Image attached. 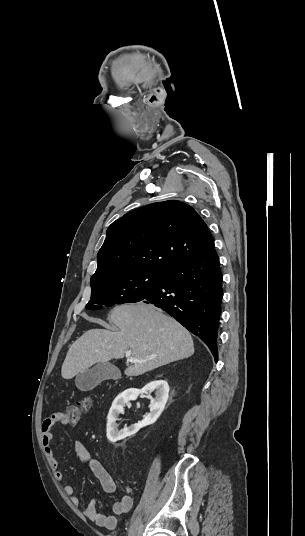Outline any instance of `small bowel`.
<instances>
[{"label": "small bowel", "instance_id": "obj_1", "mask_svg": "<svg viewBox=\"0 0 305 536\" xmlns=\"http://www.w3.org/2000/svg\"><path fill=\"white\" fill-rule=\"evenodd\" d=\"M43 421L41 422V442L46 454L47 460L51 469L54 471L55 479L58 482L64 480V475L59 469V461L57 455L54 453L51 443L53 436L51 434L52 427L64 426L67 427L69 422L64 420V413L62 411H45L43 414ZM64 420V421H63ZM63 421V422H62ZM74 452L78 455L81 462L88 468L94 476L99 480L103 490L107 493H114L117 490V484L102 463L91 457L87 447L84 443L76 441L73 445ZM64 493L70 498L71 502L75 506L80 505V498L74 494V487L71 484L64 486ZM133 506V499L129 495L122 496L118 501L112 505L113 515H106L99 512L96 508V502L92 499L84 509L85 516L99 527L106 528L108 530H114L117 527L116 515L127 514Z\"/></svg>", "mask_w": 305, "mask_h": 536}]
</instances>
